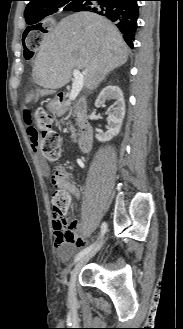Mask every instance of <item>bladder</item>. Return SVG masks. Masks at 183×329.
Here are the masks:
<instances>
[{
  "label": "bladder",
  "mask_w": 183,
  "mask_h": 329,
  "mask_svg": "<svg viewBox=\"0 0 183 329\" xmlns=\"http://www.w3.org/2000/svg\"><path fill=\"white\" fill-rule=\"evenodd\" d=\"M59 252L63 260L67 261L73 254V245L70 242H64L59 247Z\"/></svg>",
  "instance_id": "bladder-1"
}]
</instances>
